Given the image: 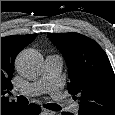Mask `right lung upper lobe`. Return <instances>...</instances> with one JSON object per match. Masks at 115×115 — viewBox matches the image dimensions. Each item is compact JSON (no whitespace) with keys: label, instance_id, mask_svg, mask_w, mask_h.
<instances>
[{"label":"right lung upper lobe","instance_id":"1","mask_svg":"<svg viewBox=\"0 0 115 115\" xmlns=\"http://www.w3.org/2000/svg\"><path fill=\"white\" fill-rule=\"evenodd\" d=\"M35 37L36 34L13 35L1 38V113L20 105L14 101L10 102L4 95L13 88L11 79L14 71L15 57Z\"/></svg>","mask_w":115,"mask_h":115}]
</instances>
